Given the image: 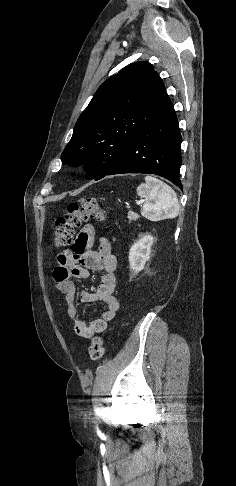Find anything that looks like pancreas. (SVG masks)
Segmentation results:
<instances>
[{"mask_svg":"<svg viewBox=\"0 0 236 486\" xmlns=\"http://www.w3.org/2000/svg\"><path fill=\"white\" fill-rule=\"evenodd\" d=\"M139 217L140 216L137 213L133 212V211H129L128 212V219H129L130 222L137 220Z\"/></svg>","mask_w":236,"mask_h":486,"instance_id":"cf45deb5","label":"pancreas"}]
</instances>
